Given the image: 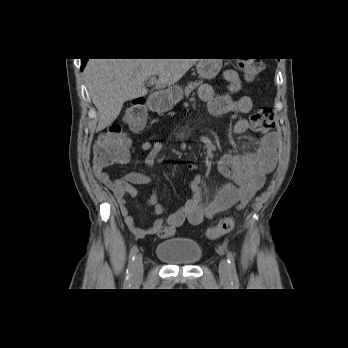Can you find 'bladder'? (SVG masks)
Masks as SVG:
<instances>
[{
    "label": "bladder",
    "mask_w": 348,
    "mask_h": 348,
    "mask_svg": "<svg viewBox=\"0 0 348 348\" xmlns=\"http://www.w3.org/2000/svg\"><path fill=\"white\" fill-rule=\"evenodd\" d=\"M155 255L168 265L191 266L202 257V249L197 242L170 240L157 245Z\"/></svg>",
    "instance_id": "bladder-1"
}]
</instances>
